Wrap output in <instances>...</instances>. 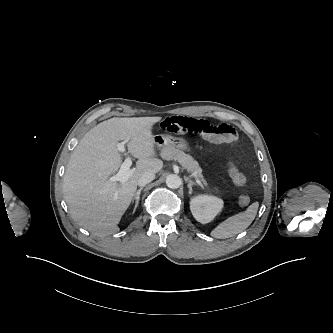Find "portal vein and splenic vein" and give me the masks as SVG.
Segmentation results:
<instances>
[{
	"label": "portal vein and splenic vein",
	"instance_id": "obj_1",
	"mask_svg": "<svg viewBox=\"0 0 333 333\" xmlns=\"http://www.w3.org/2000/svg\"><path fill=\"white\" fill-rule=\"evenodd\" d=\"M127 141H123L120 143H117V150L124 153L126 151L125 144ZM132 165V161L129 157L125 159V161L121 164V167L118 171V173L112 177L109 178L111 182H120L124 183L127 181L133 174V169H130ZM197 182L199 183V180L197 179Z\"/></svg>",
	"mask_w": 333,
	"mask_h": 333
}]
</instances>
